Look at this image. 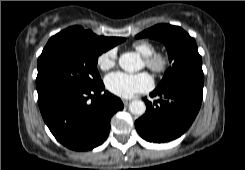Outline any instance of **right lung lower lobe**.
I'll return each instance as SVG.
<instances>
[{
  "instance_id": "obj_1",
  "label": "right lung lower lobe",
  "mask_w": 245,
  "mask_h": 170,
  "mask_svg": "<svg viewBox=\"0 0 245 170\" xmlns=\"http://www.w3.org/2000/svg\"><path fill=\"white\" fill-rule=\"evenodd\" d=\"M101 82L89 90H69L38 101L43 119L65 147L88 151L108 137L111 117L124 105ZM91 99V101L89 100Z\"/></svg>"
}]
</instances>
